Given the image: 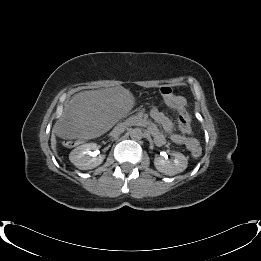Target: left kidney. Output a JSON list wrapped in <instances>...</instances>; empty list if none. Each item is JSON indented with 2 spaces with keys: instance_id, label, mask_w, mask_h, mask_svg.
Listing matches in <instances>:
<instances>
[{
  "instance_id": "obj_1",
  "label": "left kidney",
  "mask_w": 261,
  "mask_h": 261,
  "mask_svg": "<svg viewBox=\"0 0 261 261\" xmlns=\"http://www.w3.org/2000/svg\"><path fill=\"white\" fill-rule=\"evenodd\" d=\"M161 156L155 157L154 165L159 172H162L166 175H174L187 167L186 157L177 151H173L171 154L172 159H164L162 156H165L166 153L162 152Z\"/></svg>"
}]
</instances>
